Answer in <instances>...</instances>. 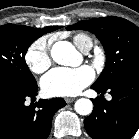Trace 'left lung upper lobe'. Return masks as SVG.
I'll list each match as a JSON object with an SVG mask.
<instances>
[{
	"label": "left lung upper lobe",
	"instance_id": "1",
	"mask_svg": "<svg viewBox=\"0 0 139 139\" xmlns=\"http://www.w3.org/2000/svg\"><path fill=\"white\" fill-rule=\"evenodd\" d=\"M67 30H87L96 35L106 52V65L93 84L108 88L120 76L139 68V28L120 17H103L80 21Z\"/></svg>",
	"mask_w": 139,
	"mask_h": 139
}]
</instances>
